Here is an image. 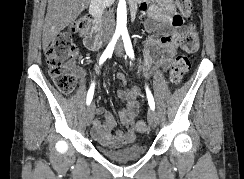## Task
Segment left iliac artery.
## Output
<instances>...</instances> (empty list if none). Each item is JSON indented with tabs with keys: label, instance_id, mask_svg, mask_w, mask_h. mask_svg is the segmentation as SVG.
<instances>
[{
	"label": "left iliac artery",
	"instance_id": "1",
	"mask_svg": "<svg viewBox=\"0 0 244 179\" xmlns=\"http://www.w3.org/2000/svg\"><path fill=\"white\" fill-rule=\"evenodd\" d=\"M121 35H122V39H123V43H124V47H125L127 55L129 56V58L134 59V51H133V47L131 44V40H130L128 31L127 30L122 31ZM146 94H147L149 106L152 110H154L155 102H154V98H153L148 86L146 87Z\"/></svg>",
	"mask_w": 244,
	"mask_h": 179
}]
</instances>
